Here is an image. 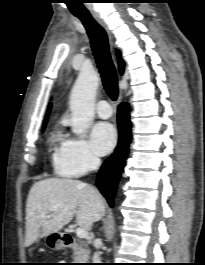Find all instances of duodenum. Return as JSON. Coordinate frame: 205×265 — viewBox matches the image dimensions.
<instances>
[{
  "label": "duodenum",
  "instance_id": "duodenum-1",
  "mask_svg": "<svg viewBox=\"0 0 205 265\" xmlns=\"http://www.w3.org/2000/svg\"><path fill=\"white\" fill-rule=\"evenodd\" d=\"M61 242L65 247L69 248H76L77 247V242L74 239V237L70 234L64 233L61 236Z\"/></svg>",
  "mask_w": 205,
  "mask_h": 265
}]
</instances>
